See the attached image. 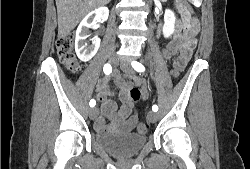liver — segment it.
<instances>
[{"mask_svg": "<svg viewBox=\"0 0 250 169\" xmlns=\"http://www.w3.org/2000/svg\"><path fill=\"white\" fill-rule=\"evenodd\" d=\"M110 0H56L58 14V36L64 38L75 28L86 12L108 4Z\"/></svg>", "mask_w": 250, "mask_h": 169, "instance_id": "1", "label": "liver"}]
</instances>
